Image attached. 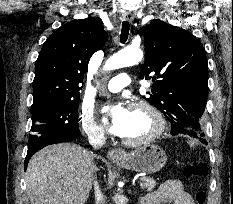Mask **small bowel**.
Masks as SVG:
<instances>
[{
	"label": "small bowel",
	"instance_id": "small-bowel-1",
	"mask_svg": "<svg viewBox=\"0 0 233 204\" xmlns=\"http://www.w3.org/2000/svg\"><path fill=\"white\" fill-rule=\"evenodd\" d=\"M141 204H195L179 180H167L154 192L145 195Z\"/></svg>",
	"mask_w": 233,
	"mask_h": 204
}]
</instances>
